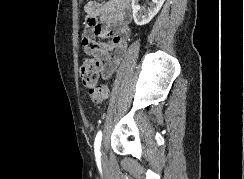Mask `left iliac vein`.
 Here are the masks:
<instances>
[{
	"mask_svg": "<svg viewBox=\"0 0 244 179\" xmlns=\"http://www.w3.org/2000/svg\"><path fill=\"white\" fill-rule=\"evenodd\" d=\"M101 157H102V159L106 158L105 151L103 149L101 150Z\"/></svg>",
	"mask_w": 244,
	"mask_h": 179,
	"instance_id": "1",
	"label": "left iliac vein"
}]
</instances>
